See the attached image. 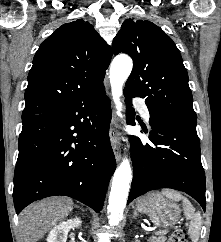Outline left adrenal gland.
Returning <instances> with one entry per match:
<instances>
[{"mask_svg": "<svg viewBox=\"0 0 221 242\" xmlns=\"http://www.w3.org/2000/svg\"><path fill=\"white\" fill-rule=\"evenodd\" d=\"M137 215H138L137 211H136V210H134V211H133V217H132V218H136V217H137Z\"/></svg>", "mask_w": 221, "mask_h": 242, "instance_id": "left-adrenal-gland-1", "label": "left adrenal gland"}]
</instances>
